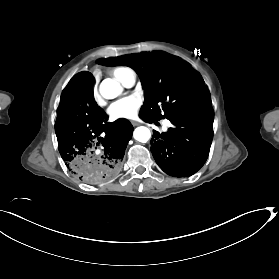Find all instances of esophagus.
Instances as JSON below:
<instances>
[{
	"label": "esophagus",
	"mask_w": 279,
	"mask_h": 279,
	"mask_svg": "<svg viewBox=\"0 0 279 279\" xmlns=\"http://www.w3.org/2000/svg\"><path fill=\"white\" fill-rule=\"evenodd\" d=\"M131 123H132V125H134V126L139 125V123H138V122H136V121H134V120H132V121H131Z\"/></svg>",
	"instance_id": "1"
}]
</instances>
